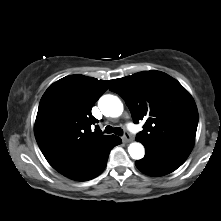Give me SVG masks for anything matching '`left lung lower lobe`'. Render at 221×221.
<instances>
[{"mask_svg":"<svg viewBox=\"0 0 221 221\" xmlns=\"http://www.w3.org/2000/svg\"><path fill=\"white\" fill-rule=\"evenodd\" d=\"M192 148L191 144L145 146V157L136 161L135 164L144 174L163 176L179 168L189 156Z\"/></svg>","mask_w":221,"mask_h":221,"instance_id":"1","label":"left lung lower lobe"}]
</instances>
